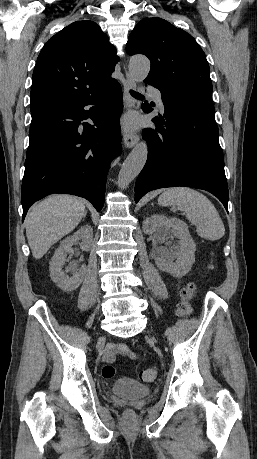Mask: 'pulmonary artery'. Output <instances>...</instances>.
Returning <instances> with one entry per match:
<instances>
[{
  "label": "pulmonary artery",
  "mask_w": 257,
  "mask_h": 459,
  "mask_svg": "<svg viewBox=\"0 0 257 459\" xmlns=\"http://www.w3.org/2000/svg\"><path fill=\"white\" fill-rule=\"evenodd\" d=\"M151 93H152V96L155 98V100L158 102L159 107L161 109H164L161 92L157 89H152Z\"/></svg>",
  "instance_id": "1"
}]
</instances>
